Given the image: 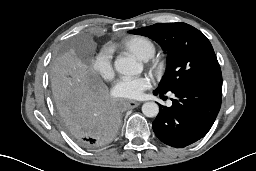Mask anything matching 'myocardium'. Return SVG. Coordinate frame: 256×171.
<instances>
[{"label": "myocardium", "instance_id": "1", "mask_svg": "<svg viewBox=\"0 0 256 171\" xmlns=\"http://www.w3.org/2000/svg\"><path fill=\"white\" fill-rule=\"evenodd\" d=\"M150 67H151L152 70H157V69H158V64H157V62L152 61V62L150 63Z\"/></svg>", "mask_w": 256, "mask_h": 171}]
</instances>
